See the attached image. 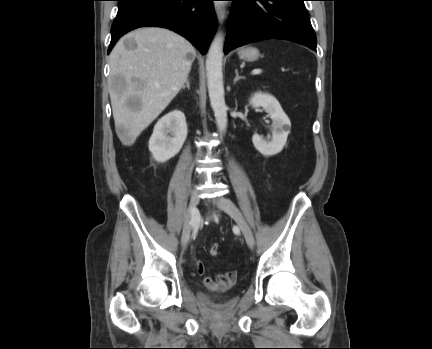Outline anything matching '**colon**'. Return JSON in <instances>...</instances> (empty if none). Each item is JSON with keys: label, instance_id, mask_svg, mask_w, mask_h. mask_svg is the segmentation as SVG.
Instances as JSON below:
<instances>
[{"label": "colon", "instance_id": "obj_1", "mask_svg": "<svg viewBox=\"0 0 432 349\" xmlns=\"http://www.w3.org/2000/svg\"><path fill=\"white\" fill-rule=\"evenodd\" d=\"M209 253L211 256H217L219 254V245L217 243L212 244Z\"/></svg>", "mask_w": 432, "mask_h": 349}]
</instances>
